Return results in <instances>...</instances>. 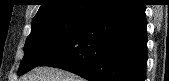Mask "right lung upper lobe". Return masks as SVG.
<instances>
[{"instance_id": "right-lung-upper-lobe-1", "label": "right lung upper lobe", "mask_w": 169, "mask_h": 81, "mask_svg": "<svg viewBox=\"0 0 169 81\" xmlns=\"http://www.w3.org/2000/svg\"><path fill=\"white\" fill-rule=\"evenodd\" d=\"M121 0H42L33 21L51 17L72 15L90 19Z\"/></svg>"}]
</instances>
